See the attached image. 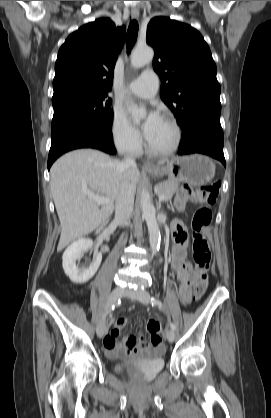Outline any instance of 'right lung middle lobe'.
<instances>
[{
	"mask_svg": "<svg viewBox=\"0 0 271 418\" xmlns=\"http://www.w3.org/2000/svg\"><path fill=\"white\" fill-rule=\"evenodd\" d=\"M107 94H78L52 101L54 116L52 132L65 127L89 122H100L109 127L112 125L113 110L111 99Z\"/></svg>",
	"mask_w": 271,
	"mask_h": 418,
	"instance_id": "right-lung-middle-lobe-1",
	"label": "right lung middle lobe"
}]
</instances>
